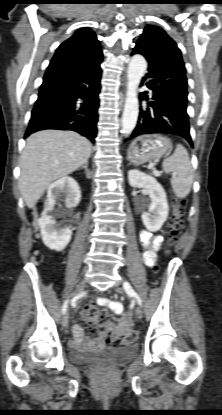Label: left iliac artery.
Wrapping results in <instances>:
<instances>
[{
  "mask_svg": "<svg viewBox=\"0 0 222 415\" xmlns=\"http://www.w3.org/2000/svg\"><path fill=\"white\" fill-rule=\"evenodd\" d=\"M123 287H124L126 293L130 297H134L137 300L138 304L141 306L142 305V300H141L140 296L134 291V289L132 288L130 283L129 282H124Z\"/></svg>",
  "mask_w": 222,
  "mask_h": 415,
  "instance_id": "left-iliac-artery-1",
  "label": "left iliac artery"
}]
</instances>
